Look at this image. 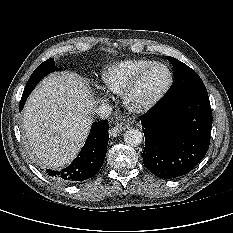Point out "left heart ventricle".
Wrapping results in <instances>:
<instances>
[{"label":"left heart ventricle","instance_id":"b2bd125f","mask_svg":"<svg viewBox=\"0 0 233 233\" xmlns=\"http://www.w3.org/2000/svg\"><path fill=\"white\" fill-rule=\"evenodd\" d=\"M168 74L163 67L153 68L144 78L139 90L135 95L138 102L151 99L167 82Z\"/></svg>","mask_w":233,"mask_h":233}]
</instances>
